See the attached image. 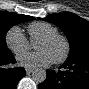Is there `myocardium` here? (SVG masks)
Listing matches in <instances>:
<instances>
[{
	"label": "myocardium",
	"mask_w": 89,
	"mask_h": 89,
	"mask_svg": "<svg viewBox=\"0 0 89 89\" xmlns=\"http://www.w3.org/2000/svg\"><path fill=\"white\" fill-rule=\"evenodd\" d=\"M57 39H60L63 41V43L65 45V50H64L63 54L60 57H58L57 59L53 60V62L55 64H62L68 59L70 52H71V44H70L69 39L66 36H64L60 33H55V34H51V35H46V36L40 38L38 41L52 42Z\"/></svg>",
	"instance_id": "f54148a6"
}]
</instances>
